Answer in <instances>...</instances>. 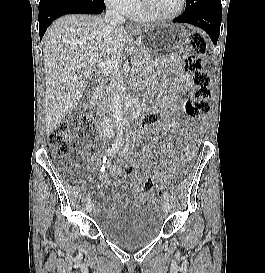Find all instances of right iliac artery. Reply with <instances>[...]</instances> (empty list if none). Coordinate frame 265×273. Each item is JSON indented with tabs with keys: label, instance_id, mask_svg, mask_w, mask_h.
<instances>
[{
	"label": "right iliac artery",
	"instance_id": "82829eb1",
	"mask_svg": "<svg viewBox=\"0 0 265 273\" xmlns=\"http://www.w3.org/2000/svg\"><path fill=\"white\" fill-rule=\"evenodd\" d=\"M122 129H123V126L120 125V126L118 127V133H117L116 141H115L114 144H112L111 147H109V148L107 149V151H106L107 155L111 156V155L116 154V153L119 151L120 147L122 146L123 140H124ZM86 200H87V201H90V200H91V195H90V194H87Z\"/></svg>",
	"mask_w": 265,
	"mask_h": 273
}]
</instances>
